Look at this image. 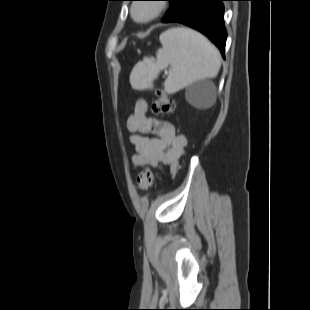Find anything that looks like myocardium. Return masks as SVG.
Instances as JSON below:
<instances>
[{
    "label": "myocardium",
    "instance_id": "1",
    "mask_svg": "<svg viewBox=\"0 0 310 310\" xmlns=\"http://www.w3.org/2000/svg\"><path fill=\"white\" fill-rule=\"evenodd\" d=\"M140 9H145L147 13L143 16L138 14ZM163 5L159 2H150L142 4H134L131 9V15L134 20L141 23L153 21L163 12Z\"/></svg>",
    "mask_w": 310,
    "mask_h": 310
}]
</instances>
